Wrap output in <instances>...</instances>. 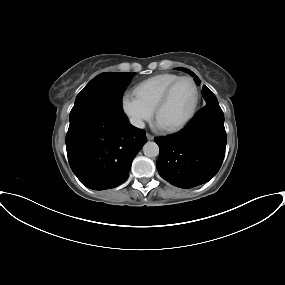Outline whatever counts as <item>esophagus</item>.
I'll use <instances>...</instances> for the list:
<instances>
[{
    "instance_id": "obj_1",
    "label": "esophagus",
    "mask_w": 285,
    "mask_h": 285,
    "mask_svg": "<svg viewBox=\"0 0 285 285\" xmlns=\"http://www.w3.org/2000/svg\"><path fill=\"white\" fill-rule=\"evenodd\" d=\"M146 137H147L148 140H153L154 139V136L149 134V133L146 134Z\"/></svg>"
}]
</instances>
